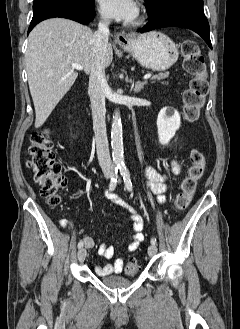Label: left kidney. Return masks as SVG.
<instances>
[{
  "label": "left kidney",
  "mask_w": 240,
  "mask_h": 329,
  "mask_svg": "<svg viewBox=\"0 0 240 329\" xmlns=\"http://www.w3.org/2000/svg\"><path fill=\"white\" fill-rule=\"evenodd\" d=\"M180 124V115L176 110L169 107L162 108L157 118L159 142L167 145L179 129Z\"/></svg>",
  "instance_id": "obj_1"
}]
</instances>
